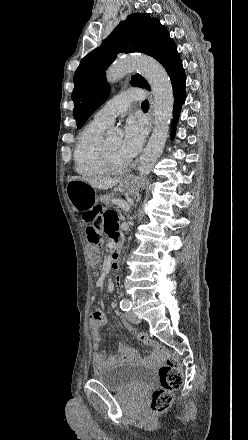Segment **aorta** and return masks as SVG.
<instances>
[{
	"label": "aorta",
	"instance_id": "762f6f07",
	"mask_svg": "<svg viewBox=\"0 0 248 440\" xmlns=\"http://www.w3.org/2000/svg\"><path fill=\"white\" fill-rule=\"evenodd\" d=\"M133 71H138L149 83L154 96L155 122L149 141L140 156L138 170L141 176L151 172L165 146L174 105L173 88L165 69L156 60L145 56L117 59L107 70L109 84H114ZM111 129L108 134L115 133Z\"/></svg>",
	"mask_w": 248,
	"mask_h": 440
}]
</instances>
